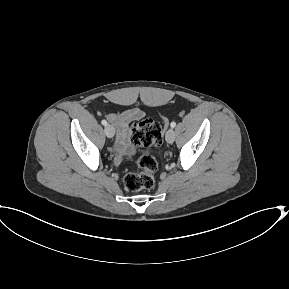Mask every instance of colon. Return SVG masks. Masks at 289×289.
<instances>
[{"instance_id": "colon-1", "label": "colon", "mask_w": 289, "mask_h": 289, "mask_svg": "<svg viewBox=\"0 0 289 289\" xmlns=\"http://www.w3.org/2000/svg\"><path fill=\"white\" fill-rule=\"evenodd\" d=\"M132 140L138 147L159 146L163 141V129L159 122L144 119L132 127ZM138 172H127L124 175V186L130 192L150 189L155 184L154 174L158 163L151 154H144L137 161Z\"/></svg>"}]
</instances>
